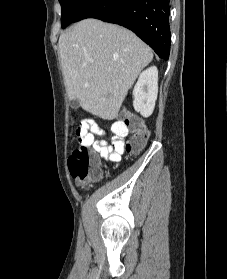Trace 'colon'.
<instances>
[{
	"label": "colon",
	"mask_w": 227,
	"mask_h": 279,
	"mask_svg": "<svg viewBox=\"0 0 227 279\" xmlns=\"http://www.w3.org/2000/svg\"><path fill=\"white\" fill-rule=\"evenodd\" d=\"M73 122V118L71 123ZM85 123H81L82 127ZM121 124L126 129H131L132 135L125 144L127 152L138 153L146 145L149 132L141 124L140 120L135 116L125 115L121 120ZM78 137V147L68 158L69 170L73 178H78L83 186L95 181L100 174V159L98 154L90 149L93 141L92 136L86 129L78 127L75 131Z\"/></svg>",
	"instance_id": "5ec220e1"
}]
</instances>
